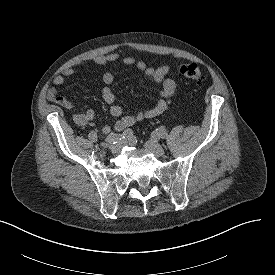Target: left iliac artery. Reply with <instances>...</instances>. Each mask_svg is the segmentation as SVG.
Masks as SVG:
<instances>
[{
	"mask_svg": "<svg viewBox=\"0 0 275 275\" xmlns=\"http://www.w3.org/2000/svg\"><path fill=\"white\" fill-rule=\"evenodd\" d=\"M153 137H154V138L165 139V138L167 137L166 129L163 128V127H160V128H158V129H156V130L153 132Z\"/></svg>",
	"mask_w": 275,
	"mask_h": 275,
	"instance_id": "1",
	"label": "left iliac artery"
}]
</instances>
